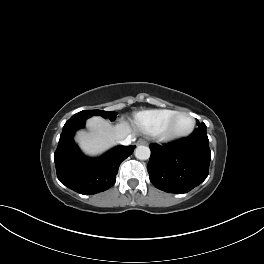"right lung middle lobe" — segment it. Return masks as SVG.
<instances>
[{
    "mask_svg": "<svg viewBox=\"0 0 264 264\" xmlns=\"http://www.w3.org/2000/svg\"><path fill=\"white\" fill-rule=\"evenodd\" d=\"M93 115H100L103 118H108L111 121L116 119V112H108V111H102V110H84V111H80L78 113H76L75 115H73L74 117H85V118H89Z\"/></svg>",
    "mask_w": 264,
    "mask_h": 264,
    "instance_id": "dd1d6c3e",
    "label": "right lung middle lobe"
}]
</instances>
